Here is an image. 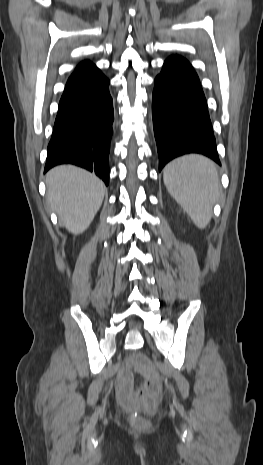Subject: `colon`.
Segmentation results:
<instances>
[{
  "label": "colon",
  "instance_id": "obj_1",
  "mask_svg": "<svg viewBox=\"0 0 263 465\" xmlns=\"http://www.w3.org/2000/svg\"><path fill=\"white\" fill-rule=\"evenodd\" d=\"M159 392V385L156 380L149 379L143 389L139 391L137 398L138 404L145 413H152L156 408V398ZM134 422L139 426H146L147 421L144 417L138 416Z\"/></svg>",
  "mask_w": 263,
  "mask_h": 465
}]
</instances>
